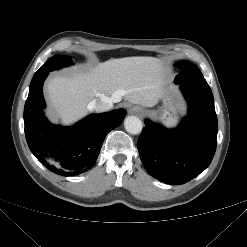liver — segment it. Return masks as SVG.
<instances>
[{
    "instance_id": "6515ba94",
    "label": "liver",
    "mask_w": 247,
    "mask_h": 247,
    "mask_svg": "<svg viewBox=\"0 0 247 247\" xmlns=\"http://www.w3.org/2000/svg\"><path fill=\"white\" fill-rule=\"evenodd\" d=\"M46 91L52 118L70 125L86 115L92 100L103 96L153 106L164 95L163 66L154 57L110 59L69 76L57 75L47 82Z\"/></svg>"
}]
</instances>
